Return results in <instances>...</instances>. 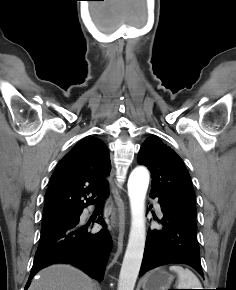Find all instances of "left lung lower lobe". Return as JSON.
I'll list each match as a JSON object with an SVG mask.
<instances>
[{
	"mask_svg": "<svg viewBox=\"0 0 236 290\" xmlns=\"http://www.w3.org/2000/svg\"><path fill=\"white\" fill-rule=\"evenodd\" d=\"M151 197H155L150 194ZM164 213L163 228L149 229L140 274L169 263H185L203 276L197 242V225L189 222L159 200Z\"/></svg>",
	"mask_w": 236,
	"mask_h": 290,
	"instance_id": "0a47b994",
	"label": "left lung lower lobe"
}]
</instances>
